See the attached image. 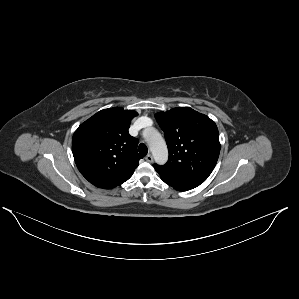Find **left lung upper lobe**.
Returning a JSON list of instances; mask_svg holds the SVG:
<instances>
[{
  "mask_svg": "<svg viewBox=\"0 0 299 299\" xmlns=\"http://www.w3.org/2000/svg\"><path fill=\"white\" fill-rule=\"evenodd\" d=\"M155 118L164 131L168 162L155 170L163 178L180 182H204L220 153L219 132L213 120L189 107L160 112Z\"/></svg>",
  "mask_w": 299,
  "mask_h": 299,
  "instance_id": "1",
  "label": "left lung upper lobe"
}]
</instances>
